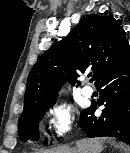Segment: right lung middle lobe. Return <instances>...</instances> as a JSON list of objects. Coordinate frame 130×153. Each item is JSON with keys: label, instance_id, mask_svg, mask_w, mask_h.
<instances>
[{"label": "right lung middle lobe", "instance_id": "obj_1", "mask_svg": "<svg viewBox=\"0 0 130 153\" xmlns=\"http://www.w3.org/2000/svg\"><path fill=\"white\" fill-rule=\"evenodd\" d=\"M56 101L38 105L21 114L18 123V133L23 141L37 140L39 138L38 124L45 112L51 108Z\"/></svg>", "mask_w": 130, "mask_h": 153}]
</instances>
